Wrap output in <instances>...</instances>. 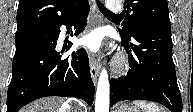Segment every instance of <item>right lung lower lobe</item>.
<instances>
[{
	"label": "right lung lower lobe",
	"mask_w": 193,
	"mask_h": 112,
	"mask_svg": "<svg viewBox=\"0 0 193 112\" xmlns=\"http://www.w3.org/2000/svg\"><path fill=\"white\" fill-rule=\"evenodd\" d=\"M88 13L89 4L85 3L63 21L16 42L7 112H18L24 105L46 96L77 97L89 105L93 103L95 88L85 49L66 58L56 51L60 26L74 24L77 35L84 30Z\"/></svg>",
	"instance_id": "right-lung-lower-lobe-1"
}]
</instances>
